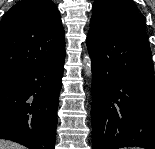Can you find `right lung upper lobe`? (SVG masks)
I'll list each match as a JSON object with an SVG mask.
<instances>
[{"mask_svg": "<svg viewBox=\"0 0 155 149\" xmlns=\"http://www.w3.org/2000/svg\"><path fill=\"white\" fill-rule=\"evenodd\" d=\"M65 54L64 30L51 0H21L0 21V73L21 74Z\"/></svg>", "mask_w": 155, "mask_h": 149, "instance_id": "right-lung-upper-lobe-1", "label": "right lung upper lobe"}]
</instances>
